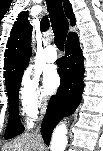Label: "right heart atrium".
<instances>
[{
	"label": "right heart atrium",
	"mask_w": 103,
	"mask_h": 151,
	"mask_svg": "<svg viewBox=\"0 0 103 151\" xmlns=\"http://www.w3.org/2000/svg\"><path fill=\"white\" fill-rule=\"evenodd\" d=\"M19 96L23 113L28 118L38 116L46 107L45 94L38 79L30 72H26L21 79Z\"/></svg>",
	"instance_id": "right-heart-atrium-1"
}]
</instances>
